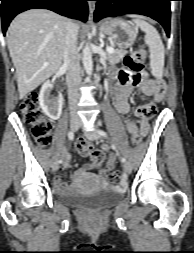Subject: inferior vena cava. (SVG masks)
Here are the masks:
<instances>
[{
  "label": "inferior vena cava",
  "mask_w": 194,
  "mask_h": 253,
  "mask_svg": "<svg viewBox=\"0 0 194 253\" xmlns=\"http://www.w3.org/2000/svg\"><path fill=\"white\" fill-rule=\"evenodd\" d=\"M78 26L68 20L65 26L63 61L67 68L66 83L71 119H78V86L81 82L80 57L77 49Z\"/></svg>",
  "instance_id": "1"
}]
</instances>
